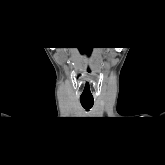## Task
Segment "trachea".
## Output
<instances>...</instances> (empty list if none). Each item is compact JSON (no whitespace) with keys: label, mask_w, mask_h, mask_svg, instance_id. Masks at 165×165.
<instances>
[{"label":"trachea","mask_w":165,"mask_h":165,"mask_svg":"<svg viewBox=\"0 0 165 165\" xmlns=\"http://www.w3.org/2000/svg\"><path fill=\"white\" fill-rule=\"evenodd\" d=\"M81 105L83 106L84 109L89 110L92 108L94 101L93 100H83L80 99Z\"/></svg>","instance_id":"3493384b"}]
</instances>
